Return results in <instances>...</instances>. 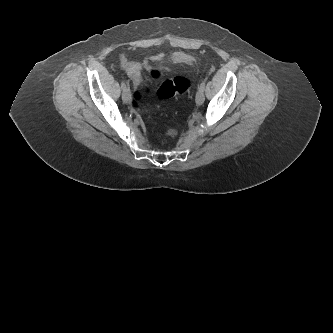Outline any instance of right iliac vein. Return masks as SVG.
Segmentation results:
<instances>
[{
  "mask_svg": "<svg viewBox=\"0 0 333 333\" xmlns=\"http://www.w3.org/2000/svg\"><path fill=\"white\" fill-rule=\"evenodd\" d=\"M122 99L125 103H129V101H130L129 90H126V91L123 92Z\"/></svg>",
  "mask_w": 333,
  "mask_h": 333,
  "instance_id": "63e3f726",
  "label": "right iliac vein"
}]
</instances>
